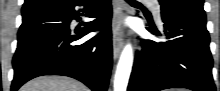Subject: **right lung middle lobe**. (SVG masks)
<instances>
[{
    "instance_id": "right-lung-middle-lobe-1",
    "label": "right lung middle lobe",
    "mask_w": 220,
    "mask_h": 91,
    "mask_svg": "<svg viewBox=\"0 0 220 91\" xmlns=\"http://www.w3.org/2000/svg\"><path fill=\"white\" fill-rule=\"evenodd\" d=\"M35 4V2H31V3H29V5H34Z\"/></svg>"
}]
</instances>
